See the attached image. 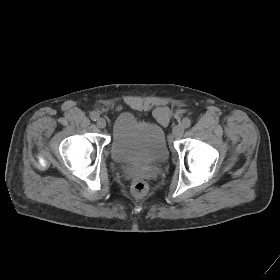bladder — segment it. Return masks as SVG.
Returning <instances> with one entry per match:
<instances>
[{
  "label": "bladder",
  "instance_id": "1",
  "mask_svg": "<svg viewBox=\"0 0 280 280\" xmlns=\"http://www.w3.org/2000/svg\"><path fill=\"white\" fill-rule=\"evenodd\" d=\"M109 146L111 157L118 163L159 164L169 157L164 129L129 112L115 118Z\"/></svg>",
  "mask_w": 280,
  "mask_h": 280
}]
</instances>
